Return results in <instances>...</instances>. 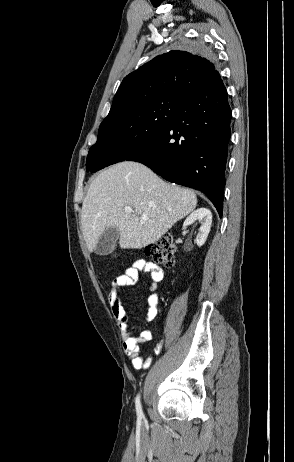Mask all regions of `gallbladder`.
I'll return each instance as SVG.
<instances>
[{
    "mask_svg": "<svg viewBox=\"0 0 294 462\" xmlns=\"http://www.w3.org/2000/svg\"><path fill=\"white\" fill-rule=\"evenodd\" d=\"M120 232L117 228H106L99 237L94 251L99 256L109 255L119 239Z\"/></svg>",
    "mask_w": 294,
    "mask_h": 462,
    "instance_id": "bac80fb5",
    "label": "gallbladder"
}]
</instances>
